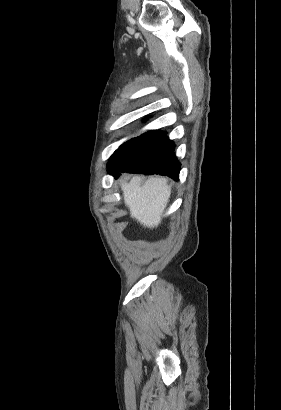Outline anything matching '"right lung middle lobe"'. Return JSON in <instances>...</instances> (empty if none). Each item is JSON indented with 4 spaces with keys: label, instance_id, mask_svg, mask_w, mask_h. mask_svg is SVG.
I'll return each instance as SVG.
<instances>
[{
    "label": "right lung middle lobe",
    "instance_id": "dd1d6c3e",
    "mask_svg": "<svg viewBox=\"0 0 281 410\" xmlns=\"http://www.w3.org/2000/svg\"><path fill=\"white\" fill-rule=\"evenodd\" d=\"M151 131H147L142 135L132 138L131 140L123 143L110 157L107 164L108 172L114 170L118 164L128 155V153L141 142Z\"/></svg>",
    "mask_w": 281,
    "mask_h": 410
}]
</instances>
